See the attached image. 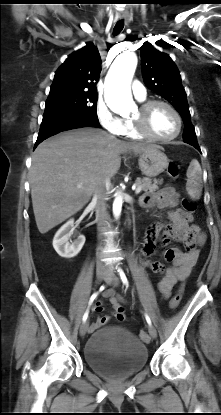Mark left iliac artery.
I'll list each match as a JSON object with an SVG mask.
<instances>
[{
    "instance_id": "44dca946",
    "label": "left iliac artery",
    "mask_w": 221,
    "mask_h": 415,
    "mask_svg": "<svg viewBox=\"0 0 221 415\" xmlns=\"http://www.w3.org/2000/svg\"><path fill=\"white\" fill-rule=\"evenodd\" d=\"M118 272H119V275H120V278H121L123 284H125L128 287V280H127V277H126L125 273L123 272L122 269H118ZM145 318H146L147 323L149 325H151V319L147 314H145Z\"/></svg>"
}]
</instances>
